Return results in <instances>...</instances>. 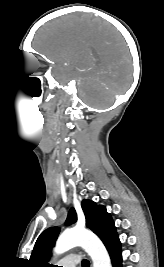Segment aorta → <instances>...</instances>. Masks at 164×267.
<instances>
[{
  "label": "aorta",
  "instance_id": "obj_1",
  "mask_svg": "<svg viewBox=\"0 0 164 267\" xmlns=\"http://www.w3.org/2000/svg\"><path fill=\"white\" fill-rule=\"evenodd\" d=\"M81 246L91 257L93 267H111L110 257L101 240L87 230L70 229L58 238L54 252L62 254L71 248Z\"/></svg>",
  "mask_w": 164,
  "mask_h": 267
}]
</instances>
